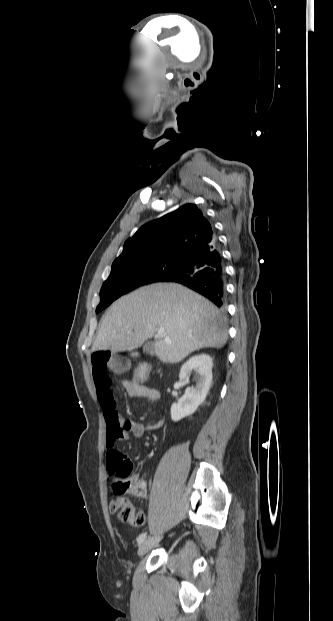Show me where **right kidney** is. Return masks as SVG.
<instances>
[{"label":"right kidney","mask_w":333,"mask_h":621,"mask_svg":"<svg viewBox=\"0 0 333 621\" xmlns=\"http://www.w3.org/2000/svg\"><path fill=\"white\" fill-rule=\"evenodd\" d=\"M213 360L208 354H198L183 364L180 380L188 381L190 372L198 368L200 378L197 386L187 388L185 394L171 406V419L175 422L193 414L204 402L212 382Z\"/></svg>","instance_id":"1"}]
</instances>
